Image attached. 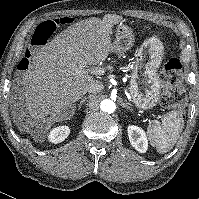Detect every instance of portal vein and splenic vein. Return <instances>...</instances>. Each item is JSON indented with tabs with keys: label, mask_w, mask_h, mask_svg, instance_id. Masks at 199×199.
Listing matches in <instances>:
<instances>
[{
	"label": "portal vein and splenic vein",
	"mask_w": 199,
	"mask_h": 199,
	"mask_svg": "<svg viewBox=\"0 0 199 199\" xmlns=\"http://www.w3.org/2000/svg\"><path fill=\"white\" fill-rule=\"evenodd\" d=\"M90 72L92 74H95V75H102L104 73V70L102 68H99V67H92L90 69Z\"/></svg>",
	"instance_id": "1"
}]
</instances>
